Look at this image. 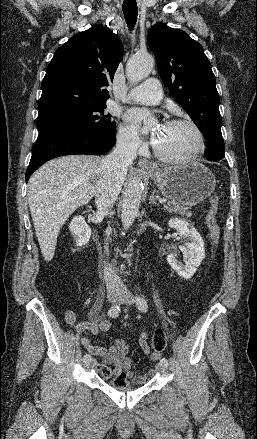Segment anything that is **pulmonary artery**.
I'll use <instances>...</instances> for the list:
<instances>
[{
	"instance_id": "1",
	"label": "pulmonary artery",
	"mask_w": 257,
	"mask_h": 439,
	"mask_svg": "<svg viewBox=\"0 0 257 439\" xmlns=\"http://www.w3.org/2000/svg\"><path fill=\"white\" fill-rule=\"evenodd\" d=\"M162 99V90L159 81L150 78L141 85L130 90L123 98L129 103L158 104Z\"/></svg>"
}]
</instances>
